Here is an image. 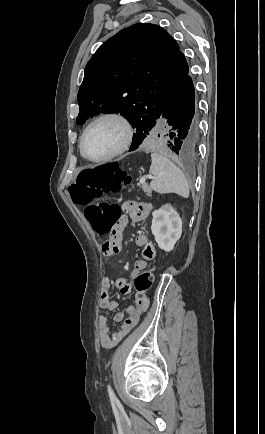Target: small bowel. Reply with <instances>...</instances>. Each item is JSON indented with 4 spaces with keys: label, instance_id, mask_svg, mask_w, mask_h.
Segmentation results:
<instances>
[{
    "label": "small bowel",
    "instance_id": "1",
    "mask_svg": "<svg viewBox=\"0 0 265 434\" xmlns=\"http://www.w3.org/2000/svg\"><path fill=\"white\" fill-rule=\"evenodd\" d=\"M124 215L118 224L113 228L109 239L102 245L103 260L102 263L107 264L108 260L121 251V238L124 227L130 221L135 225H141L150 215L152 207L147 203H137L135 201H127L123 204ZM136 246L141 250L142 259L136 261L134 270L132 271V280L135 276L146 269L147 263L153 260L156 256V249L149 237L145 234H139L135 238ZM112 281L103 276L101 279L99 306L106 311H114L119 304L113 300L110 295ZM115 286L123 295H130L132 287L124 277H118L115 280ZM136 312L135 306H128L125 312H117L113 316V320L117 323L123 322L125 318ZM140 318V317H139ZM138 318V320H139ZM98 338L102 348L112 349L117 343L131 330L126 329V333H121L122 325L113 333L110 334V326L108 318L104 314L97 317Z\"/></svg>",
    "mask_w": 265,
    "mask_h": 434
}]
</instances>
